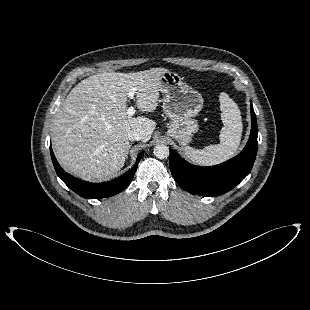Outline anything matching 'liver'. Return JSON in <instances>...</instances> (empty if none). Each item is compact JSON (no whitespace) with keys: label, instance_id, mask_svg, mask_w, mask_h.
<instances>
[{"label":"liver","instance_id":"obj_1","mask_svg":"<svg viewBox=\"0 0 310 310\" xmlns=\"http://www.w3.org/2000/svg\"><path fill=\"white\" fill-rule=\"evenodd\" d=\"M165 68L135 73L103 72L78 83L56 114L53 146L60 164L87 181H106L128 157V133L138 130L147 142L156 122L127 114L128 92L135 88L139 111L153 112Z\"/></svg>","mask_w":310,"mask_h":310}]
</instances>
